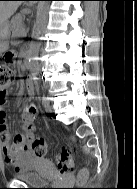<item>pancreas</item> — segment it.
Returning a JSON list of instances; mask_svg holds the SVG:
<instances>
[{"label":"pancreas","instance_id":"pancreas-1","mask_svg":"<svg viewBox=\"0 0 137 189\" xmlns=\"http://www.w3.org/2000/svg\"><path fill=\"white\" fill-rule=\"evenodd\" d=\"M12 30L15 37L23 36L25 35V28L23 24V15L21 13L16 14L12 20Z\"/></svg>","mask_w":137,"mask_h":189}]
</instances>
